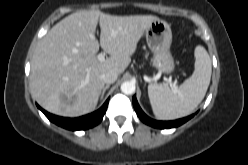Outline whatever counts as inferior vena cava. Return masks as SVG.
<instances>
[{
    "instance_id": "602c4592",
    "label": "inferior vena cava",
    "mask_w": 248,
    "mask_h": 165,
    "mask_svg": "<svg viewBox=\"0 0 248 165\" xmlns=\"http://www.w3.org/2000/svg\"><path fill=\"white\" fill-rule=\"evenodd\" d=\"M118 78L117 72L114 71H108L102 75V80L106 84H112L114 83Z\"/></svg>"
}]
</instances>
